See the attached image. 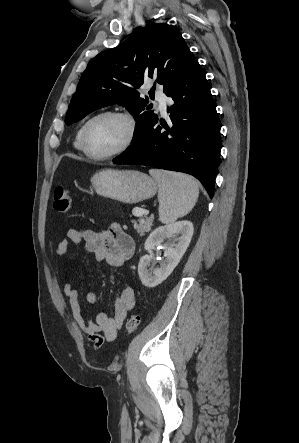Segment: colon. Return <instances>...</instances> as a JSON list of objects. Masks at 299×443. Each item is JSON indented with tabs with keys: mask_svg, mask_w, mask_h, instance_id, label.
Here are the masks:
<instances>
[{
	"mask_svg": "<svg viewBox=\"0 0 299 443\" xmlns=\"http://www.w3.org/2000/svg\"><path fill=\"white\" fill-rule=\"evenodd\" d=\"M54 209L62 214H68L71 211V197L64 186H57L53 198ZM140 324V317L132 314L126 321V330L129 334L134 333Z\"/></svg>",
	"mask_w": 299,
	"mask_h": 443,
	"instance_id": "colon-1",
	"label": "colon"
}]
</instances>
